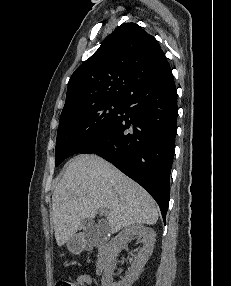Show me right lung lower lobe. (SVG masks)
Instances as JSON below:
<instances>
[{
  "instance_id": "98d812e1",
  "label": "right lung lower lobe",
  "mask_w": 231,
  "mask_h": 286,
  "mask_svg": "<svg viewBox=\"0 0 231 286\" xmlns=\"http://www.w3.org/2000/svg\"><path fill=\"white\" fill-rule=\"evenodd\" d=\"M177 91L172 72L139 84L123 101V115L80 153L97 154L145 188L165 220L177 132Z\"/></svg>"
}]
</instances>
